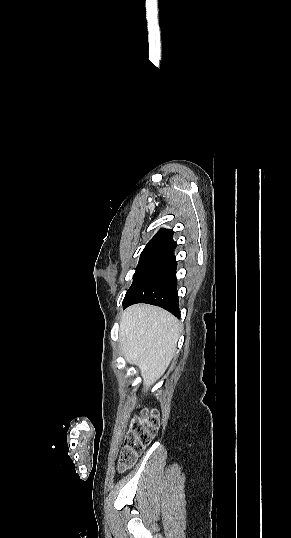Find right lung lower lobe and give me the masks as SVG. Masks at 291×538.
<instances>
[{"label":"right lung lower lobe","mask_w":291,"mask_h":538,"mask_svg":"<svg viewBox=\"0 0 291 538\" xmlns=\"http://www.w3.org/2000/svg\"><path fill=\"white\" fill-rule=\"evenodd\" d=\"M176 267L177 261L172 252L138 285L123 308L136 303H147L162 307L180 317Z\"/></svg>","instance_id":"98d812e1"}]
</instances>
